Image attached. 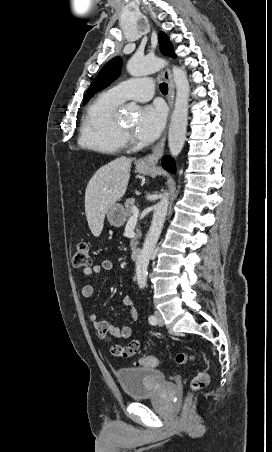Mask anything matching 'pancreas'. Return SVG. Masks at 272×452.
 Instances as JSON below:
<instances>
[{"label":"pancreas","instance_id":"1","mask_svg":"<svg viewBox=\"0 0 272 452\" xmlns=\"http://www.w3.org/2000/svg\"><path fill=\"white\" fill-rule=\"evenodd\" d=\"M135 204V199L134 198H129L125 201L124 203V210H125V214L126 217H131L132 216V207ZM141 237V231L140 228L137 226L136 228V236L134 239L131 240L130 242V247L131 249H134L137 245H138V239Z\"/></svg>","mask_w":272,"mask_h":452}]
</instances>
